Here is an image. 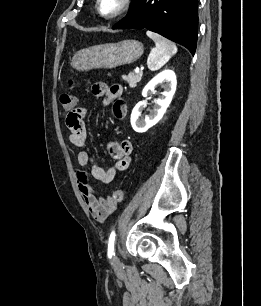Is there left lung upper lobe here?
I'll list each match as a JSON object with an SVG mask.
<instances>
[{"label":"left lung upper lobe","instance_id":"5c2ea615","mask_svg":"<svg viewBox=\"0 0 261 306\" xmlns=\"http://www.w3.org/2000/svg\"><path fill=\"white\" fill-rule=\"evenodd\" d=\"M138 0H132L131 8L136 4Z\"/></svg>","mask_w":261,"mask_h":306}]
</instances>
